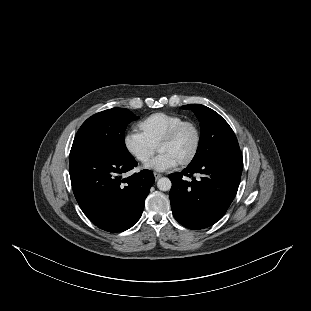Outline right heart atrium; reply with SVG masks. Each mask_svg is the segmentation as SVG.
Wrapping results in <instances>:
<instances>
[{"mask_svg":"<svg viewBox=\"0 0 311 311\" xmlns=\"http://www.w3.org/2000/svg\"><path fill=\"white\" fill-rule=\"evenodd\" d=\"M123 145L127 154L137 163H147L155 154L156 148L150 145L135 128L127 131L123 137Z\"/></svg>","mask_w":311,"mask_h":311,"instance_id":"d8ad5b80","label":"right heart atrium"}]
</instances>
